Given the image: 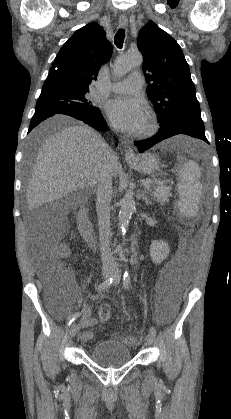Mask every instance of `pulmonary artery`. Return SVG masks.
I'll use <instances>...</instances> for the list:
<instances>
[{"mask_svg": "<svg viewBox=\"0 0 231 419\" xmlns=\"http://www.w3.org/2000/svg\"><path fill=\"white\" fill-rule=\"evenodd\" d=\"M144 79L141 73L134 72L126 79L111 85L110 90L114 93H135L142 89Z\"/></svg>", "mask_w": 231, "mask_h": 419, "instance_id": "e3ab8cb5", "label": "pulmonary artery"}]
</instances>
